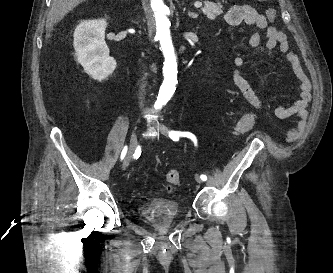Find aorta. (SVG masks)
I'll list each match as a JSON object with an SVG mask.
<instances>
[{
	"label": "aorta",
	"mask_w": 333,
	"mask_h": 273,
	"mask_svg": "<svg viewBox=\"0 0 333 273\" xmlns=\"http://www.w3.org/2000/svg\"><path fill=\"white\" fill-rule=\"evenodd\" d=\"M151 8L156 22V38L160 42L165 62L163 65L164 81L160 87L158 103H166L173 95L177 82V62L170 35V21L167 18L168 7L163 0H151Z\"/></svg>",
	"instance_id": "aorta-1"
}]
</instances>
